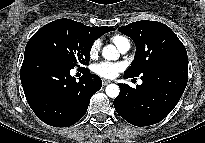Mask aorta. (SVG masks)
<instances>
[{"label": "aorta", "instance_id": "obj_1", "mask_svg": "<svg viewBox=\"0 0 205 143\" xmlns=\"http://www.w3.org/2000/svg\"><path fill=\"white\" fill-rule=\"evenodd\" d=\"M102 56L106 60H116L119 57V53L113 45H107L102 50ZM105 91L110 98H116L119 95L120 89L116 84H109Z\"/></svg>", "mask_w": 205, "mask_h": 143}]
</instances>
